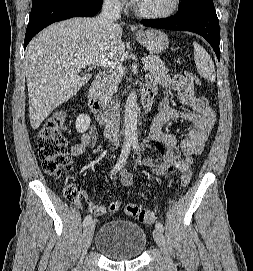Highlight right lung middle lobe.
<instances>
[{
    "label": "right lung middle lobe",
    "instance_id": "1",
    "mask_svg": "<svg viewBox=\"0 0 253 271\" xmlns=\"http://www.w3.org/2000/svg\"><path fill=\"white\" fill-rule=\"evenodd\" d=\"M52 1H56V0H33L32 1V9L39 6V5H43Z\"/></svg>",
    "mask_w": 253,
    "mask_h": 271
}]
</instances>
